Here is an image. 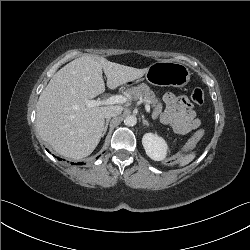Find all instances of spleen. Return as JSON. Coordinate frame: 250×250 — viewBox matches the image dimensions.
Returning <instances> with one entry per match:
<instances>
[{"label": "spleen", "mask_w": 250, "mask_h": 250, "mask_svg": "<svg viewBox=\"0 0 250 250\" xmlns=\"http://www.w3.org/2000/svg\"><path fill=\"white\" fill-rule=\"evenodd\" d=\"M195 156H196L195 152H191V153L186 154V155H179L178 159H177V163L180 166H185V165L189 164L191 161H193Z\"/></svg>", "instance_id": "spleen-1"}]
</instances>
